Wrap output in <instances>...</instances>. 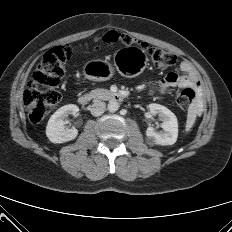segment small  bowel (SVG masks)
I'll use <instances>...</instances> for the list:
<instances>
[{"label": "small bowel", "mask_w": 232, "mask_h": 232, "mask_svg": "<svg viewBox=\"0 0 232 232\" xmlns=\"http://www.w3.org/2000/svg\"><path fill=\"white\" fill-rule=\"evenodd\" d=\"M180 73L170 72L165 75L155 88L160 94H165L173 87L195 88L198 93L202 92L201 82L198 74L188 60H183L179 66Z\"/></svg>", "instance_id": "obj_1"}]
</instances>
